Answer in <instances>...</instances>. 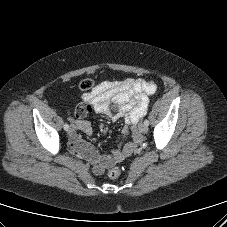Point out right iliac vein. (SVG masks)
I'll return each instance as SVG.
<instances>
[{
    "instance_id": "obj_1",
    "label": "right iliac vein",
    "mask_w": 227,
    "mask_h": 227,
    "mask_svg": "<svg viewBox=\"0 0 227 227\" xmlns=\"http://www.w3.org/2000/svg\"><path fill=\"white\" fill-rule=\"evenodd\" d=\"M74 126H71L68 130V133L71 135L74 132Z\"/></svg>"
}]
</instances>
